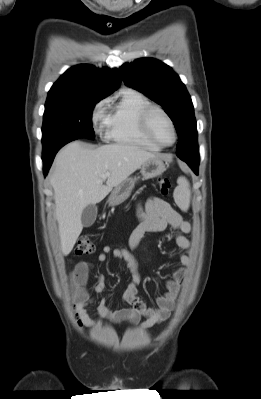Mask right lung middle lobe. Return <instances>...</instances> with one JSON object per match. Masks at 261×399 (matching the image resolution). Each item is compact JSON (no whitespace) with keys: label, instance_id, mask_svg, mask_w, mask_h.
<instances>
[{"label":"right lung middle lobe","instance_id":"obj_1","mask_svg":"<svg viewBox=\"0 0 261 399\" xmlns=\"http://www.w3.org/2000/svg\"><path fill=\"white\" fill-rule=\"evenodd\" d=\"M103 97H47L42 126L43 146L62 138L94 139L92 111Z\"/></svg>","mask_w":261,"mask_h":399}]
</instances>
